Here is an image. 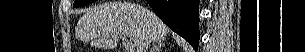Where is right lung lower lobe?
<instances>
[{"label":"right lung lower lobe","mask_w":305,"mask_h":52,"mask_svg":"<svg viewBox=\"0 0 305 52\" xmlns=\"http://www.w3.org/2000/svg\"><path fill=\"white\" fill-rule=\"evenodd\" d=\"M156 15L197 50L199 43V0H147Z\"/></svg>","instance_id":"obj_1"}]
</instances>
